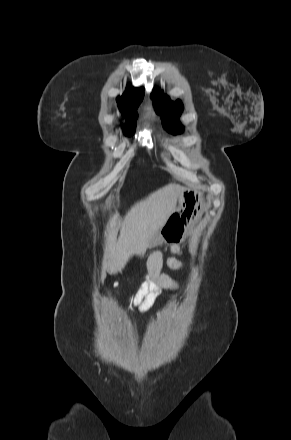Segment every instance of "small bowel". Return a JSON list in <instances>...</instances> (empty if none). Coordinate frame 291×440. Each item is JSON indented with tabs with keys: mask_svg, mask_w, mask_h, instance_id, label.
<instances>
[{
	"mask_svg": "<svg viewBox=\"0 0 291 440\" xmlns=\"http://www.w3.org/2000/svg\"><path fill=\"white\" fill-rule=\"evenodd\" d=\"M172 250L177 256L169 258L168 265L172 269H180L184 266V262L179 258L182 251L178 246H174ZM162 263L163 256L160 251L153 252L148 258L150 280L144 282L132 298V304L137 306L140 311L149 309L158 299L162 289L177 290L179 288L178 283L173 278L160 273Z\"/></svg>",
	"mask_w": 291,
	"mask_h": 440,
	"instance_id": "1",
	"label": "small bowel"
}]
</instances>
